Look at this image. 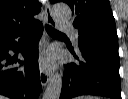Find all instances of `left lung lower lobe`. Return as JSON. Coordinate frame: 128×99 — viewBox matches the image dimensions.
Listing matches in <instances>:
<instances>
[{
  "instance_id": "left-lung-lower-lobe-1",
  "label": "left lung lower lobe",
  "mask_w": 128,
  "mask_h": 99,
  "mask_svg": "<svg viewBox=\"0 0 128 99\" xmlns=\"http://www.w3.org/2000/svg\"><path fill=\"white\" fill-rule=\"evenodd\" d=\"M79 63L67 65L60 99L80 95L121 99L118 40L105 36H90L78 43ZM70 52L78 59L73 49Z\"/></svg>"
}]
</instances>
